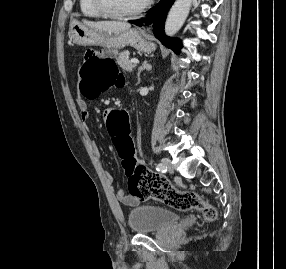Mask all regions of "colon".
<instances>
[{"instance_id": "5ec220e1", "label": "colon", "mask_w": 286, "mask_h": 269, "mask_svg": "<svg viewBox=\"0 0 286 269\" xmlns=\"http://www.w3.org/2000/svg\"><path fill=\"white\" fill-rule=\"evenodd\" d=\"M118 49H92L85 52L80 67V91L84 97L91 99L110 86H120L122 76L113 59ZM106 126L113 142L114 155L121 159L128 177L129 193L140 199L151 197L160 199L178 210L199 209L207 221L216 219L215 209L196 193H181L170 187L166 179L144 169V163H137L136 140L131 137L129 125L132 115L124 106H111Z\"/></svg>"}]
</instances>
